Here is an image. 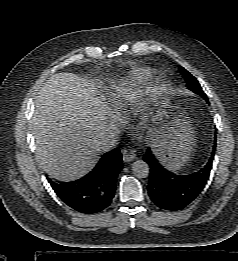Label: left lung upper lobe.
<instances>
[{
  "label": "left lung upper lobe",
  "instance_id": "5c2ea615",
  "mask_svg": "<svg viewBox=\"0 0 238 261\" xmlns=\"http://www.w3.org/2000/svg\"><path fill=\"white\" fill-rule=\"evenodd\" d=\"M179 70L181 72V75L184 77L186 83H187V88L192 90L195 93L200 94L203 96L205 99H207L206 94L202 90L200 84L198 83L197 79L192 76L186 69L183 67H179Z\"/></svg>",
  "mask_w": 238,
  "mask_h": 261
}]
</instances>
